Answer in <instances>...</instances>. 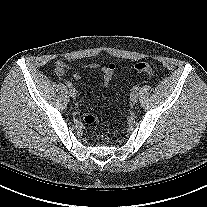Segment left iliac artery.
Wrapping results in <instances>:
<instances>
[{"mask_svg":"<svg viewBox=\"0 0 207 207\" xmlns=\"http://www.w3.org/2000/svg\"><path fill=\"white\" fill-rule=\"evenodd\" d=\"M134 90L135 91L139 90V86L138 85L134 86Z\"/></svg>","mask_w":207,"mask_h":207,"instance_id":"1","label":"left iliac artery"}]
</instances>
